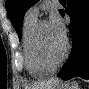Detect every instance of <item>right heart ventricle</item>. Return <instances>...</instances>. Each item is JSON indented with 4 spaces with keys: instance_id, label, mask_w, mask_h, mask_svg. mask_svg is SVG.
<instances>
[{
    "instance_id": "e07e8e85",
    "label": "right heart ventricle",
    "mask_w": 89,
    "mask_h": 89,
    "mask_svg": "<svg viewBox=\"0 0 89 89\" xmlns=\"http://www.w3.org/2000/svg\"><path fill=\"white\" fill-rule=\"evenodd\" d=\"M37 24L38 17L26 13L22 28L23 55L27 72L33 77H42L51 70L43 67L34 53L33 37Z\"/></svg>"
}]
</instances>
